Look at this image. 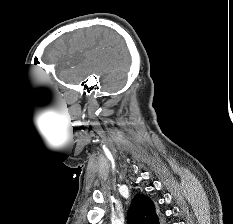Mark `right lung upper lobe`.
I'll return each instance as SVG.
<instances>
[{"label":"right lung upper lobe","instance_id":"right-lung-upper-lobe-1","mask_svg":"<svg viewBox=\"0 0 233 224\" xmlns=\"http://www.w3.org/2000/svg\"><path fill=\"white\" fill-rule=\"evenodd\" d=\"M130 224H159L154 203L145 195L137 194L128 212Z\"/></svg>","mask_w":233,"mask_h":224}]
</instances>
